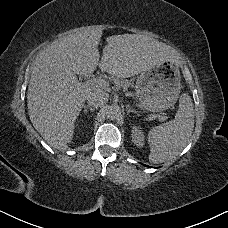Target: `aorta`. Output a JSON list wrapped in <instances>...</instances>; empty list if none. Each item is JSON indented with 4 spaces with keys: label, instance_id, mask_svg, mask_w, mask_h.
I'll use <instances>...</instances> for the list:
<instances>
[{
    "label": "aorta",
    "instance_id": "762f6f07",
    "mask_svg": "<svg viewBox=\"0 0 228 228\" xmlns=\"http://www.w3.org/2000/svg\"><path fill=\"white\" fill-rule=\"evenodd\" d=\"M120 112V107L117 105H111L107 109V117L108 118H115Z\"/></svg>",
    "mask_w": 228,
    "mask_h": 228
}]
</instances>
